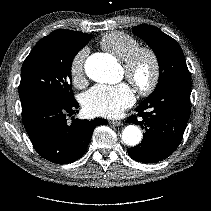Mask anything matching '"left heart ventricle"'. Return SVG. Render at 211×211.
Listing matches in <instances>:
<instances>
[{"label":"left heart ventricle","instance_id":"b2bd125f","mask_svg":"<svg viewBox=\"0 0 211 211\" xmlns=\"http://www.w3.org/2000/svg\"><path fill=\"white\" fill-rule=\"evenodd\" d=\"M151 73V63L147 57H144L140 60L137 69H136V77L140 82H146Z\"/></svg>","mask_w":211,"mask_h":211}]
</instances>
